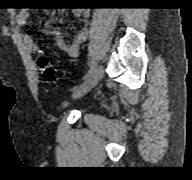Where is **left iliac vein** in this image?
I'll use <instances>...</instances> for the list:
<instances>
[{
  "label": "left iliac vein",
  "mask_w": 192,
  "mask_h": 180,
  "mask_svg": "<svg viewBox=\"0 0 192 180\" xmlns=\"http://www.w3.org/2000/svg\"><path fill=\"white\" fill-rule=\"evenodd\" d=\"M103 76V67L98 66L94 72L85 80V82L75 91V97H81L90 91L98 82L101 80Z\"/></svg>",
  "instance_id": "1"
}]
</instances>
